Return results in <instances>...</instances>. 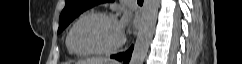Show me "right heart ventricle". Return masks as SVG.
Masks as SVG:
<instances>
[{
    "instance_id": "obj_1",
    "label": "right heart ventricle",
    "mask_w": 242,
    "mask_h": 64,
    "mask_svg": "<svg viewBox=\"0 0 242 64\" xmlns=\"http://www.w3.org/2000/svg\"><path fill=\"white\" fill-rule=\"evenodd\" d=\"M66 44H67V47H68V50H69V52L70 53H72V54H75L71 49H70V47H69V45H68V42L66 41Z\"/></svg>"
}]
</instances>
